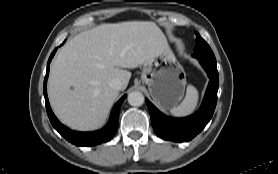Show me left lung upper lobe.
<instances>
[{"mask_svg": "<svg viewBox=\"0 0 278 174\" xmlns=\"http://www.w3.org/2000/svg\"><path fill=\"white\" fill-rule=\"evenodd\" d=\"M196 46L194 48V55L201 56L208 58L210 60L216 61L215 56L210 48V46L207 44L205 40H203L199 34L196 33Z\"/></svg>", "mask_w": 278, "mask_h": 174, "instance_id": "5c2ea615", "label": "left lung upper lobe"}]
</instances>
